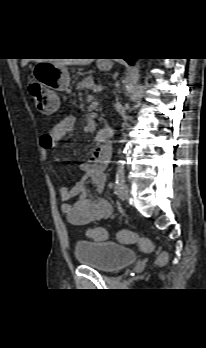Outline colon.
Segmentation results:
<instances>
[{
    "label": "colon",
    "instance_id": "obj_1",
    "mask_svg": "<svg viewBox=\"0 0 206 348\" xmlns=\"http://www.w3.org/2000/svg\"><path fill=\"white\" fill-rule=\"evenodd\" d=\"M28 92L35 101L37 107L41 109H53V106L48 105L43 100V90L38 82L31 81L28 83ZM88 236L96 241H105L108 238L107 231L102 227H93L88 231ZM116 239L120 243L135 244L144 252H151L153 250V244L147 238L140 236L135 231L119 230L115 234ZM167 255L162 254L158 262L164 264L167 262Z\"/></svg>",
    "mask_w": 206,
    "mask_h": 348
}]
</instances>
